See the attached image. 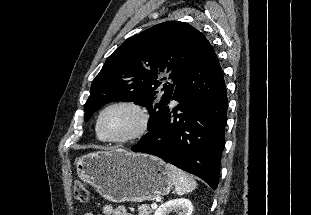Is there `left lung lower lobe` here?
Listing matches in <instances>:
<instances>
[{
  "label": "left lung lower lobe",
  "mask_w": 311,
  "mask_h": 215,
  "mask_svg": "<svg viewBox=\"0 0 311 215\" xmlns=\"http://www.w3.org/2000/svg\"><path fill=\"white\" fill-rule=\"evenodd\" d=\"M173 101H177L174 106ZM227 93L223 71L209 41L177 82L168 104L159 112L134 152L162 158L217 188Z\"/></svg>",
  "instance_id": "left-lung-lower-lobe-1"
}]
</instances>
